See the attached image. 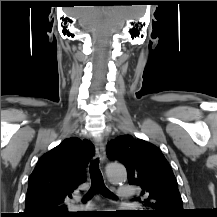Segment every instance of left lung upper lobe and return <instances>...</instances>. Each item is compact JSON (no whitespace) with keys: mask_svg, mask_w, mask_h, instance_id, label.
Wrapping results in <instances>:
<instances>
[{"mask_svg":"<svg viewBox=\"0 0 217 217\" xmlns=\"http://www.w3.org/2000/svg\"><path fill=\"white\" fill-rule=\"evenodd\" d=\"M110 159L119 160L127 169L131 185L142 188L148 210L144 217H180L183 202L173 171L155 145L131 135L118 136L106 147Z\"/></svg>","mask_w":217,"mask_h":217,"instance_id":"5c2ea615","label":"left lung upper lobe"}]
</instances>
